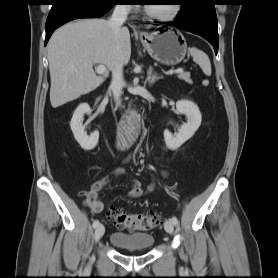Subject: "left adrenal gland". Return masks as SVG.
<instances>
[{
  "mask_svg": "<svg viewBox=\"0 0 278 278\" xmlns=\"http://www.w3.org/2000/svg\"><path fill=\"white\" fill-rule=\"evenodd\" d=\"M161 78H162V76L157 75L156 73H153L152 67L149 68V70L147 72V81L150 86Z\"/></svg>",
  "mask_w": 278,
  "mask_h": 278,
  "instance_id": "left-adrenal-gland-1",
  "label": "left adrenal gland"
}]
</instances>
